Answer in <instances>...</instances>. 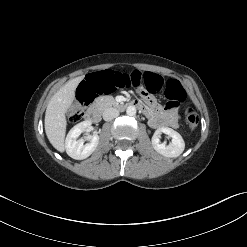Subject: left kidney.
<instances>
[{
  "mask_svg": "<svg viewBox=\"0 0 247 247\" xmlns=\"http://www.w3.org/2000/svg\"><path fill=\"white\" fill-rule=\"evenodd\" d=\"M162 133L171 137V143L169 145L160 142V135ZM152 146L159 154L165 157L175 158L184 151L185 142L182 136L175 130L168 127H160L152 137Z\"/></svg>",
  "mask_w": 247,
  "mask_h": 247,
  "instance_id": "5707ae66",
  "label": "left kidney"
}]
</instances>
